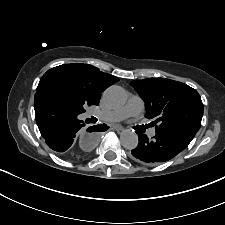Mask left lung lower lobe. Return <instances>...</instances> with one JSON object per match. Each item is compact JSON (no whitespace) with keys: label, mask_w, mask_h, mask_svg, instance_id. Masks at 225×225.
Here are the masks:
<instances>
[{"label":"left lung lower lobe","mask_w":225,"mask_h":225,"mask_svg":"<svg viewBox=\"0 0 225 225\" xmlns=\"http://www.w3.org/2000/svg\"><path fill=\"white\" fill-rule=\"evenodd\" d=\"M139 143L131 151L132 157L147 165H156L166 162L183 151L194 138L197 132L180 130L165 133H156L154 138L148 139L145 134L136 132Z\"/></svg>","instance_id":"1"}]
</instances>
